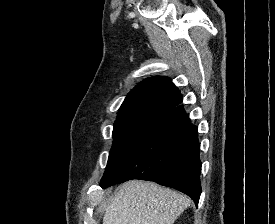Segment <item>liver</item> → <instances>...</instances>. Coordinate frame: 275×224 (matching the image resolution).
Masks as SVG:
<instances>
[{
  "instance_id": "6515ba94",
  "label": "liver",
  "mask_w": 275,
  "mask_h": 224,
  "mask_svg": "<svg viewBox=\"0 0 275 224\" xmlns=\"http://www.w3.org/2000/svg\"><path fill=\"white\" fill-rule=\"evenodd\" d=\"M188 206L187 197L176 191L132 180L110 197L103 224H173Z\"/></svg>"
}]
</instances>
